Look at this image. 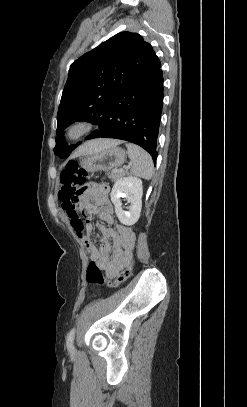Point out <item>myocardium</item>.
I'll return each instance as SVG.
<instances>
[{
    "mask_svg": "<svg viewBox=\"0 0 247 407\" xmlns=\"http://www.w3.org/2000/svg\"><path fill=\"white\" fill-rule=\"evenodd\" d=\"M93 129V124L86 119H77L71 122L64 131L66 141L74 143L82 139Z\"/></svg>",
    "mask_w": 247,
    "mask_h": 407,
    "instance_id": "f54148a6",
    "label": "myocardium"
}]
</instances>
